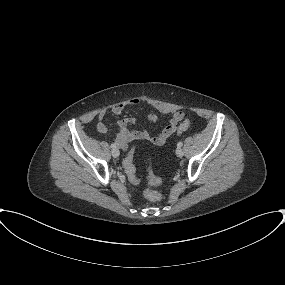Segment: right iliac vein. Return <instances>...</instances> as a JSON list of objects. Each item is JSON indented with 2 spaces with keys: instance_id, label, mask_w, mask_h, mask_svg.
Instances as JSON below:
<instances>
[{
  "instance_id": "right-iliac-vein-1",
  "label": "right iliac vein",
  "mask_w": 285,
  "mask_h": 285,
  "mask_svg": "<svg viewBox=\"0 0 285 285\" xmlns=\"http://www.w3.org/2000/svg\"><path fill=\"white\" fill-rule=\"evenodd\" d=\"M111 154H112V156H113V157H115V158H116V157H118V156H119L120 152H119V150H118V149H116V148H115V149H113V150H112Z\"/></svg>"
}]
</instances>
